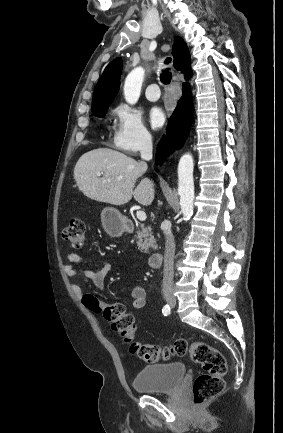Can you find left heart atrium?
<instances>
[{"mask_svg": "<svg viewBox=\"0 0 283 433\" xmlns=\"http://www.w3.org/2000/svg\"><path fill=\"white\" fill-rule=\"evenodd\" d=\"M165 122V115L160 108H152L149 112V123L152 128L159 129Z\"/></svg>", "mask_w": 283, "mask_h": 433, "instance_id": "1", "label": "left heart atrium"}]
</instances>
